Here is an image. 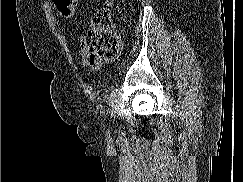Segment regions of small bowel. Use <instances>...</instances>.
I'll list each match as a JSON object with an SVG mask.
<instances>
[{
  "instance_id": "small-bowel-1",
  "label": "small bowel",
  "mask_w": 243,
  "mask_h": 182,
  "mask_svg": "<svg viewBox=\"0 0 243 182\" xmlns=\"http://www.w3.org/2000/svg\"><path fill=\"white\" fill-rule=\"evenodd\" d=\"M81 52H82V65L84 68L96 71L103 65V60L94 58L90 55L87 47L86 38L83 37L81 40Z\"/></svg>"
}]
</instances>
